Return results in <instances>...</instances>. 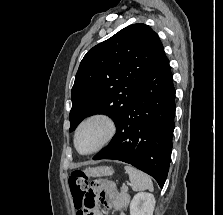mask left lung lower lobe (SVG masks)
Returning <instances> with one entry per match:
<instances>
[{
  "label": "left lung lower lobe",
  "instance_id": "1",
  "mask_svg": "<svg viewBox=\"0 0 223 215\" xmlns=\"http://www.w3.org/2000/svg\"><path fill=\"white\" fill-rule=\"evenodd\" d=\"M175 108L173 76L166 59L126 109L109 145L93 160L129 163L154 177L162 188L171 160Z\"/></svg>",
  "mask_w": 223,
  "mask_h": 215
}]
</instances>
